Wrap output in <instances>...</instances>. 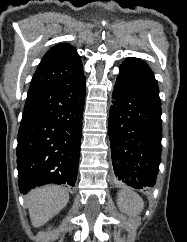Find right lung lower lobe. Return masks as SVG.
Instances as JSON below:
<instances>
[{
    "label": "right lung lower lobe",
    "mask_w": 187,
    "mask_h": 242,
    "mask_svg": "<svg viewBox=\"0 0 187 242\" xmlns=\"http://www.w3.org/2000/svg\"><path fill=\"white\" fill-rule=\"evenodd\" d=\"M85 76L28 94L18 133L21 193L48 183L74 186L80 155Z\"/></svg>",
    "instance_id": "right-lung-lower-lobe-1"
}]
</instances>
